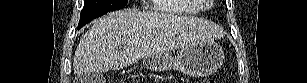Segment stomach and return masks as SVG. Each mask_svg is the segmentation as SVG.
I'll use <instances>...</instances> for the list:
<instances>
[{"instance_id":"1","label":"stomach","mask_w":307,"mask_h":83,"mask_svg":"<svg viewBox=\"0 0 307 83\" xmlns=\"http://www.w3.org/2000/svg\"><path fill=\"white\" fill-rule=\"evenodd\" d=\"M224 52L212 41H200L183 47L175 58L167 54L147 56L144 65L151 71L176 70L192 77L216 72L222 65Z\"/></svg>"}]
</instances>
